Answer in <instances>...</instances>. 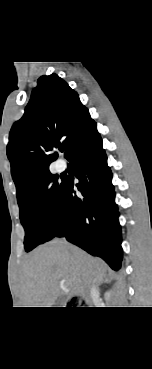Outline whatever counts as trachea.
Listing matches in <instances>:
<instances>
[{
    "mask_svg": "<svg viewBox=\"0 0 152 369\" xmlns=\"http://www.w3.org/2000/svg\"><path fill=\"white\" fill-rule=\"evenodd\" d=\"M63 150H64L63 148L60 149L61 152H63Z\"/></svg>",
    "mask_w": 152,
    "mask_h": 369,
    "instance_id": "obj_1",
    "label": "trachea"
}]
</instances>
